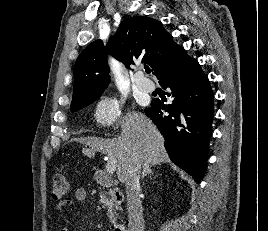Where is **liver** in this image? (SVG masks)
<instances>
[{
    "label": "liver",
    "mask_w": 268,
    "mask_h": 231,
    "mask_svg": "<svg viewBox=\"0 0 268 231\" xmlns=\"http://www.w3.org/2000/svg\"><path fill=\"white\" fill-rule=\"evenodd\" d=\"M121 134L118 138H80L85 145L83 153L94 156L96 152L113 155L117 160V176L124 182L132 155L136 153L147 164L159 165L168 162L164 139L156 126L142 113L129 112L121 120ZM87 146L89 148H87Z\"/></svg>",
    "instance_id": "1"
}]
</instances>
